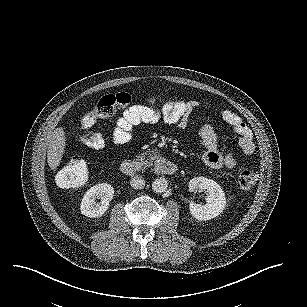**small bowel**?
Returning a JSON list of instances; mask_svg holds the SVG:
<instances>
[{"mask_svg": "<svg viewBox=\"0 0 307 307\" xmlns=\"http://www.w3.org/2000/svg\"><path fill=\"white\" fill-rule=\"evenodd\" d=\"M205 103L197 100H176L167 102L160 110L147 105H133L126 109L116 120L112 132V142L119 146L127 143L133 133L134 127L140 124H155L164 121L179 129H184L189 121L192 111ZM221 119L231 127L239 136V145L246 155L255 151L252 132L243 120L231 110H221ZM200 136L205 147L202 159L211 168L225 167L233 169L236 158L231 151L222 152L217 143V136L211 127L201 129Z\"/></svg>", "mask_w": 307, "mask_h": 307, "instance_id": "obj_1", "label": "small bowel"}]
</instances>
